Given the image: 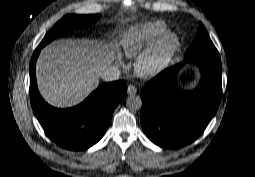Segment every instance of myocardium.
Segmentation results:
<instances>
[{"label": "myocardium", "mask_w": 255, "mask_h": 177, "mask_svg": "<svg viewBox=\"0 0 255 177\" xmlns=\"http://www.w3.org/2000/svg\"><path fill=\"white\" fill-rule=\"evenodd\" d=\"M179 47L180 43L175 34L164 33L137 58L135 74L142 79L157 76L169 64Z\"/></svg>", "instance_id": "obj_1"}]
</instances>
